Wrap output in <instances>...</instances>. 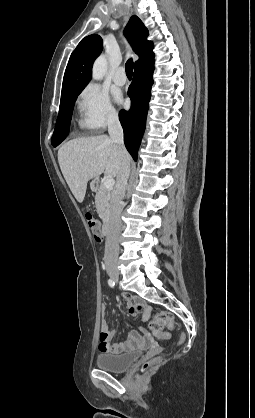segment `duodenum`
Wrapping results in <instances>:
<instances>
[{"label": "duodenum", "instance_id": "410a0bca", "mask_svg": "<svg viewBox=\"0 0 255 418\" xmlns=\"http://www.w3.org/2000/svg\"><path fill=\"white\" fill-rule=\"evenodd\" d=\"M98 187H99V181L97 180L93 181L92 188L96 190L98 189ZM109 232H110V220L109 218H105L102 222L101 233L103 236H106L109 234Z\"/></svg>", "mask_w": 255, "mask_h": 418}]
</instances>
